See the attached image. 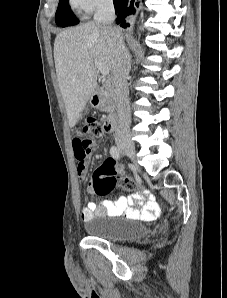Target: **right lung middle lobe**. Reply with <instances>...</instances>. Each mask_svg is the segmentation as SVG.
<instances>
[{
	"label": "right lung middle lobe",
	"instance_id": "1",
	"mask_svg": "<svg viewBox=\"0 0 227 298\" xmlns=\"http://www.w3.org/2000/svg\"><path fill=\"white\" fill-rule=\"evenodd\" d=\"M55 21L57 25L62 27L72 26L79 23L78 19L73 15L70 9L69 0H59Z\"/></svg>",
	"mask_w": 227,
	"mask_h": 298
}]
</instances>
